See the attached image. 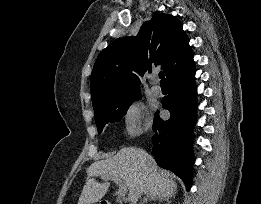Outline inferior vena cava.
<instances>
[{
	"label": "inferior vena cava",
	"mask_w": 261,
	"mask_h": 204,
	"mask_svg": "<svg viewBox=\"0 0 261 204\" xmlns=\"http://www.w3.org/2000/svg\"><path fill=\"white\" fill-rule=\"evenodd\" d=\"M140 193L139 192H136L133 199H132V203L131 204H136L137 200H138V197H139Z\"/></svg>",
	"instance_id": "1"
}]
</instances>
